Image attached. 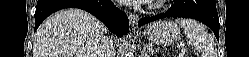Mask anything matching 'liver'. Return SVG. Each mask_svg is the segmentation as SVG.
Here are the masks:
<instances>
[{"label":"liver","instance_id":"1","mask_svg":"<svg viewBox=\"0 0 249 57\" xmlns=\"http://www.w3.org/2000/svg\"><path fill=\"white\" fill-rule=\"evenodd\" d=\"M104 25L81 9L50 16L35 34L33 57H98Z\"/></svg>","mask_w":249,"mask_h":57}]
</instances>
